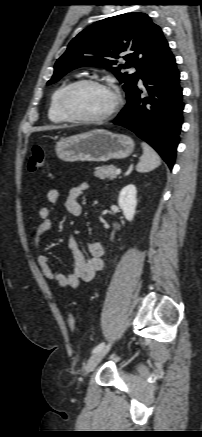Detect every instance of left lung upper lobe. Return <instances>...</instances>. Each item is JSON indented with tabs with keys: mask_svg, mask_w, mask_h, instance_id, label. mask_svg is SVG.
Instances as JSON below:
<instances>
[{
	"mask_svg": "<svg viewBox=\"0 0 202 437\" xmlns=\"http://www.w3.org/2000/svg\"><path fill=\"white\" fill-rule=\"evenodd\" d=\"M167 47L161 28L147 14L134 12L109 17L84 29L69 43L47 84L57 82L75 68L97 66L113 71L123 83L128 99L138 79ZM119 55H124L125 64L118 65ZM133 66L137 72H121Z\"/></svg>",
	"mask_w": 202,
	"mask_h": 437,
	"instance_id": "5c2ea615",
	"label": "left lung upper lobe"
}]
</instances>
